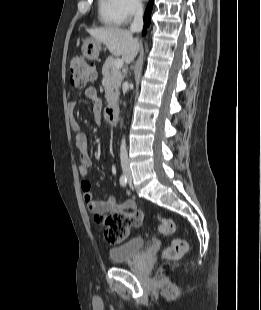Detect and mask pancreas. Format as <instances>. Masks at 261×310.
<instances>
[{
  "mask_svg": "<svg viewBox=\"0 0 261 310\" xmlns=\"http://www.w3.org/2000/svg\"><path fill=\"white\" fill-rule=\"evenodd\" d=\"M114 58L108 57L102 67L105 98L108 104H114L119 98V88L124 78L120 69L113 66Z\"/></svg>",
  "mask_w": 261,
  "mask_h": 310,
  "instance_id": "pancreas-1",
  "label": "pancreas"
}]
</instances>
